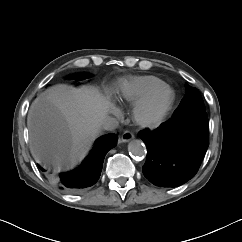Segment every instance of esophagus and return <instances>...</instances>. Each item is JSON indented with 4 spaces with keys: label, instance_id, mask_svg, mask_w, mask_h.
I'll use <instances>...</instances> for the list:
<instances>
[{
    "label": "esophagus",
    "instance_id": "esophagus-1",
    "mask_svg": "<svg viewBox=\"0 0 242 242\" xmlns=\"http://www.w3.org/2000/svg\"><path fill=\"white\" fill-rule=\"evenodd\" d=\"M134 138V134L131 131H125L121 136L122 142H129Z\"/></svg>",
    "mask_w": 242,
    "mask_h": 242
}]
</instances>
